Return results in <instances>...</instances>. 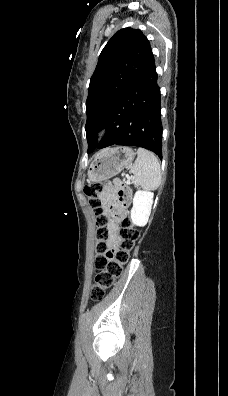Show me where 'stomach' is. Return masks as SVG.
Returning a JSON list of instances; mask_svg holds the SVG:
<instances>
[{
  "mask_svg": "<svg viewBox=\"0 0 228 396\" xmlns=\"http://www.w3.org/2000/svg\"><path fill=\"white\" fill-rule=\"evenodd\" d=\"M135 153L129 147H115L101 152L91 163L88 178L91 182L107 180L132 165Z\"/></svg>",
  "mask_w": 228,
  "mask_h": 396,
  "instance_id": "0dacf381",
  "label": "stomach"
}]
</instances>
